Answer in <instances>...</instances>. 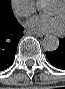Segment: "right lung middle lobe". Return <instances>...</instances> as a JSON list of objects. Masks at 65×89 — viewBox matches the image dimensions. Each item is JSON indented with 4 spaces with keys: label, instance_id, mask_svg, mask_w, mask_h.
<instances>
[{
    "label": "right lung middle lobe",
    "instance_id": "obj_1",
    "mask_svg": "<svg viewBox=\"0 0 65 89\" xmlns=\"http://www.w3.org/2000/svg\"><path fill=\"white\" fill-rule=\"evenodd\" d=\"M0 13L7 16H13L10 0H0Z\"/></svg>",
    "mask_w": 65,
    "mask_h": 89
}]
</instances>
